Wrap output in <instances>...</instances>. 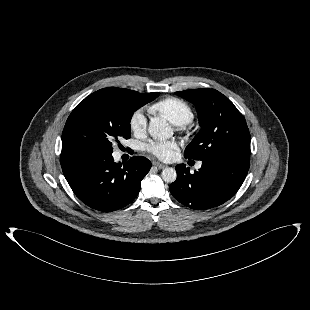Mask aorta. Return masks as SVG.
<instances>
[{"label":"aorta","instance_id":"aorta-1","mask_svg":"<svg viewBox=\"0 0 310 310\" xmlns=\"http://www.w3.org/2000/svg\"><path fill=\"white\" fill-rule=\"evenodd\" d=\"M148 132L155 139H168L173 135V129L168 122L161 117H155L150 120ZM162 179L167 183H172L177 178V173L174 168L167 167L162 170Z\"/></svg>","mask_w":310,"mask_h":310}]
</instances>
